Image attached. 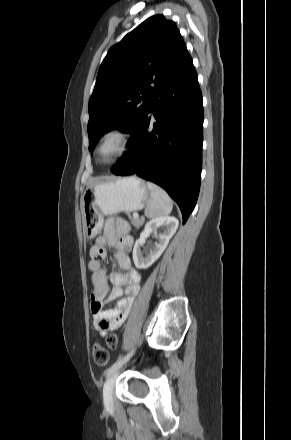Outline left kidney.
Segmentation results:
<instances>
[{"label":"left kidney","instance_id":"5707ae66","mask_svg":"<svg viewBox=\"0 0 291 440\" xmlns=\"http://www.w3.org/2000/svg\"><path fill=\"white\" fill-rule=\"evenodd\" d=\"M178 225V219L172 216L156 217L146 223L140 238L136 240L133 248V261L136 268L147 269L162 255L169 240L175 234ZM159 227L164 228V230L162 233L157 234ZM151 233H153L159 241L155 242L149 252H142L141 248Z\"/></svg>","mask_w":291,"mask_h":440}]
</instances>
